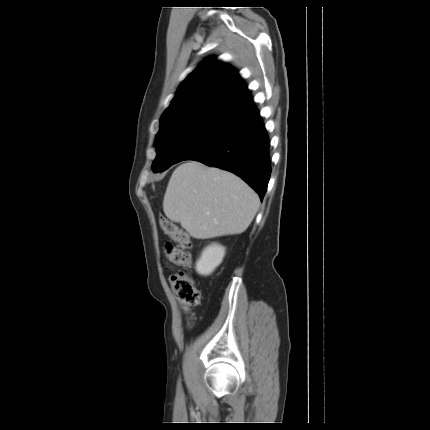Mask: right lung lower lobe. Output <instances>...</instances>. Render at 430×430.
<instances>
[{"label": "right lung lower lobe", "mask_w": 430, "mask_h": 430, "mask_svg": "<svg viewBox=\"0 0 430 430\" xmlns=\"http://www.w3.org/2000/svg\"><path fill=\"white\" fill-rule=\"evenodd\" d=\"M243 91L248 92L247 88ZM269 145L259 111L253 106L229 129L186 160L200 161L238 175L262 200L271 173Z\"/></svg>", "instance_id": "obj_1"}]
</instances>
